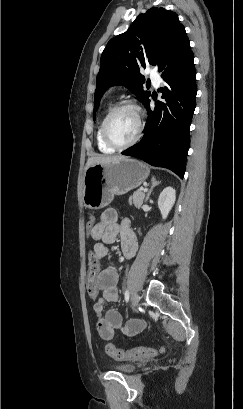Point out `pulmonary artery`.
Wrapping results in <instances>:
<instances>
[{
  "label": "pulmonary artery",
  "instance_id": "obj_1",
  "mask_svg": "<svg viewBox=\"0 0 243 409\" xmlns=\"http://www.w3.org/2000/svg\"><path fill=\"white\" fill-rule=\"evenodd\" d=\"M150 78H151L152 82H153L156 86H158V85L161 83V81H162L161 76H160L157 72H154V71H152V72L150 73Z\"/></svg>",
  "mask_w": 243,
  "mask_h": 409
}]
</instances>
